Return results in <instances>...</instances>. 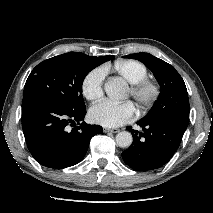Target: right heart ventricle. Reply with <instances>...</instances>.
Masks as SVG:
<instances>
[{
  "label": "right heart ventricle",
  "instance_id": "obj_1",
  "mask_svg": "<svg viewBox=\"0 0 213 213\" xmlns=\"http://www.w3.org/2000/svg\"><path fill=\"white\" fill-rule=\"evenodd\" d=\"M114 70L131 84L147 77V68L135 60L116 62L114 64Z\"/></svg>",
  "mask_w": 213,
  "mask_h": 213
}]
</instances>
